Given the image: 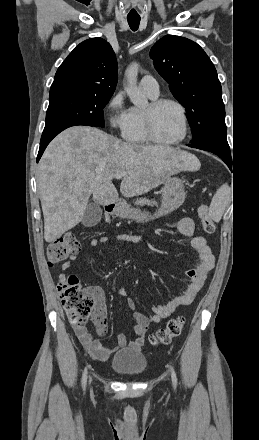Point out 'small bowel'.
Returning <instances> with one entry per match:
<instances>
[{
  "label": "small bowel",
  "instance_id": "1",
  "mask_svg": "<svg viewBox=\"0 0 259 440\" xmlns=\"http://www.w3.org/2000/svg\"><path fill=\"white\" fill-rule=\"evenodd\" d=\"M171 227L176 229L183 239L190 246L192 251L196 255V261L192 268L186 272V276L189 279V284L185 288L184 292L171 299L166 304H161L152 309L151 316H146L141 312L135 311V302L132 298H127L126 304L129 310L133 312L132 316L136 322L134 327V339L127 342L124 334L117 336V346L124 347L127 344L133 349H140L144 344L145 334L149 326L154 323L160 322L162 319L170 316L177 308L181 306L189 305L197 296L198 292L203 287L208 273L213 269L215 264V257L208 246L206 239L203 236L195 234V225L192 219L183 218L177 222L171 224ZM116 241L125 242H137L138 237L130 236L126 234L117 235ZM109 242V238L102 236L94 238L90 241L92 247H97L101 244ZM77 259L76 255L70 257L69 261H66L62 265V270H67L70 267V262ZM66 279L65 274L62 272L59 275L60 282ZM95 298V308L93 311V322L95 324L97 333L99 336H104L107 332V309L104 301V295L100 288L92 287ZM120 295H127L125 289L119 291ZM75 334L78 337L80 343L90 354L92 358L98 361H105L114 351L113 348L103 345L100 341L94 338V336L88 331L86 327H75Z\"/></svg>",
  "mask_w": 259,
  "mask_h": 440
}]
</instances>
